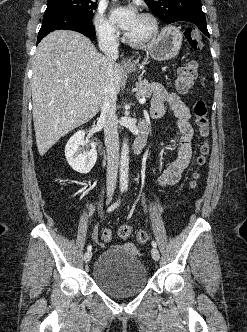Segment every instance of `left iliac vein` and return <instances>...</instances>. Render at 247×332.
Wrapping results in <instances>:
<instances>
[{
	"label": "left iliac vein",
	"instance_id": "obj_1",
	"mask_svg": "<svg viewBox=\"0 0 247 332\" xmlns=\"http://www.w3.org/2000/svg\"><path fill=\"white\" fill-rule=\"evenodd\" d=\"M151 254H152V258L155 260V261H158L159 258H160V254H159V251L157 248H152L151 250Z\"/></svg>",
	"mask_w": 247,
	"mask_h": 332
}]
</instances>
